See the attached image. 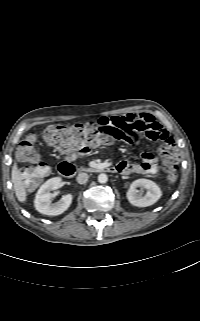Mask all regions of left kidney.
Segmentation results:
<instances>
[{
	"label": "left kidney",
	"instance_id": "1",
	"mask_svg": "<svg viewBox=\"0 0 200 321\" xmlns=\"http://www.w3.org/2000/svg\"><path fill=\"white\" fill-rule=\"evenodd\" d=\"M137 187H143L147 190L146 194L142 196L136 190ZM162 196L159 186L148 179H137L132 182L127 191V199L130 204L137 207H147L156 203Z\"/></svg>",
	"mask_w": 200,
	"mask_h": 321
}]
</instances>
